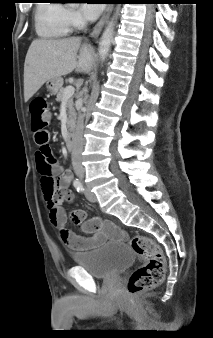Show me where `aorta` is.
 <instances>
[{
	"label": "aorta",
	"instance_id": "1",
	"mask_svg": "<svg viewBox=\"0 0 213 338\" xmlns=\"http://www.w3.org/2000/svg\"><path fill=\"white\" fill-rule=\"evenodd\" d=\"M113 39V22H109L108 26L106 27L105 31L103 32L100 41H99V56L100 60L103 62L108 56L110 51L111 43Z\"/></svg>",
	"mask_w": 213,
	"mask_h": 338
}]
</instances>
